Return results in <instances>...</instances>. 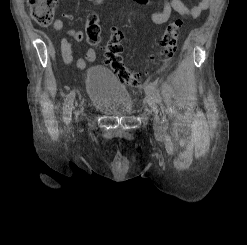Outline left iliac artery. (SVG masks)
<instances>
[{
    "mask_svg": "<svg viewBox=\"0 0 247 245\" xmlns=\"http://www.w3.org/2000/svg\"><path fill=\"white\" fill-rule=\"evenodd\" d=\"M145 92L156 102L161 104V97L160 94L158 92V90L156 89V87L154 86V84L150 83L148 85L145 86ZM163 122H167L166 118L163 117Z\"/></svg>",
    "mask_w": 247,
    "mask_h": 245,
    "instance_id": "1",
    "label": "left iliac artery"
}]
</instances>
